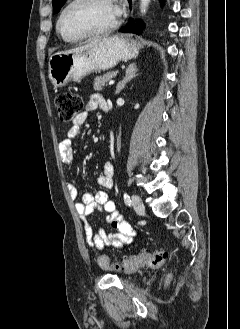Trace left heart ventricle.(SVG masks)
I'll return each instance as SVG.
<instances>
[{
  "label": "left heart ventricle",
  "instance_id": "obj_1",
  "mask_svg": "<svg viewBox=\"0 0 240 329\" xmlns=\"http://www.w3.org/2000/svg\"><path fill=\"white\" fill-rule=\"evenodd\" d=\"M117 19L110 0H88L71 8L63 21L64 30L72 36L98 30Z\"/></svg>",
  "mask_w": 240,
  "mask_h": 329
}]
</instances>
